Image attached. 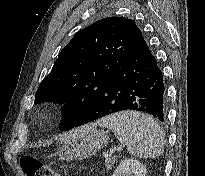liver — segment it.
Masks as SVG:
<instances>
[{
	"label": "liver",
	"instance_id": "liver-1",
	"mask_svg": "<svg viewBox=\"0 0 205 176\" xmlns=\"http://www.w3.org/2000/svg\"><path fill=\"white\" fill-rule=\"evenodd\" d=\"M85 129V126L84 127H81V128H77V129H74L72 130L71 132L65 134L63 137H61L58 142L59 143H67L69 142L70 140L74 139V138H77L81 132Z\"/></svg>",
	"mask_w": 205,
	"mask_h": 176
}]
</instances>
